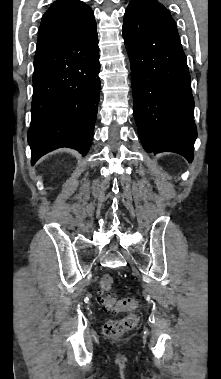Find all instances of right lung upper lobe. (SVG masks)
Listing matches in <instances>:
<instances>
[{"label": "right lung upper lobe", "instance_id": "right-lung-upper-lobe-1", "mask_svg": "<svg viewBox=\"0 0 221 379\" xmlns=\"http://www.w3.org/2000/svg\"><path fill=\"white\" fill-rule=\"evenodd\" d=\"M94 23V13L84 2L55 1L42 17L36 54L79 37Z\"/></svg>", "mask_w": 221, "mask_h": 379}]
</instances>
